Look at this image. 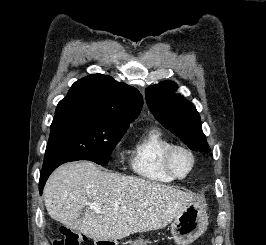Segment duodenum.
I'll list each match as a JSON object with an SVG mask.
<instances>
[{
    "label": "duodenum",
    "mask_w": 266,
    "mask_h": 245,
    "mask_svg": "<svg viewBox=\"0 0 266 245\" xmlns=\"http://www.w3.org/2000/svg\"><path fill=\"white\" fill-rule=\"evenodd\" d=\"M94 245H113L115 237H93Z\"/></svg>",
    "instance_id": "410a0bca"
}]
</instances>
